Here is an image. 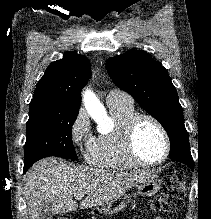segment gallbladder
<instances>
[{"instance_id": "obj_1", "label": "gallbladder", "mask_w": 211, "mask_h": 219, "mask_svg": "<svg viewBox=\"0 0 211 219\" xmlns=\"http://www.w3.org/2000/svg\"><path fill=\"white\" fill-rule=\"evenodd\" d=\"M37 219H53L52 204L42 202L37 211Z\"/></svg>"}]
</instances>
